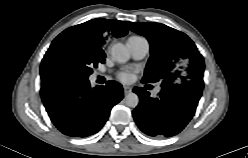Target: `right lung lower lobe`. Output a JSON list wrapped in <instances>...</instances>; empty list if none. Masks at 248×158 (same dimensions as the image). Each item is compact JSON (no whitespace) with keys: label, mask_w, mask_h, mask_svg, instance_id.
Masks as SVG:
<instances>
[{"label":"right lung lower lobe","mask_w":248,"mask_h":158,"mask_svg":"<svg viewBox=\"0 0 248 158\" xmlns=\"http://www.w3.org/2000/svg\"><path fill=\"white\" fill-rule=\"evenodd\" d=\"M41 98L51 121L62 133L86 137L103 127L112 107L123 98V89L116 81L92 88L87 80L50 86L41 90Z\"/></svg>","instance_id":"1"}]
</instances>
